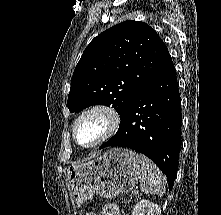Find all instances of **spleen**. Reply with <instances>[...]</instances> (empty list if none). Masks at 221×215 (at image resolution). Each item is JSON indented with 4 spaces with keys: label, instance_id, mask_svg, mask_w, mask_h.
<instances>
[{
    "label": "spleen",
    "instance_id": "3e777b00",
    "mask_svg": "<svg viewBox=\"0 0 221 215\" xmlns=\"http://www.w3.org/2000/svg\"><path fill=\"white\" fill-rule=\"evenodd\" d=\"M142 179L140 188L148 194H159L165 192L166 178L159 168L147 157L140 155Z\"/></svg>",
    "mask_w": 221,
    "mask_h": 215
}]
</instances>
